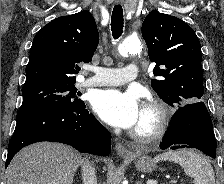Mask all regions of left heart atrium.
Here are the masks:
<instances>
[{
    "mask_svg": "<svg viewBox=\"0 0 224 184\" xmlns=\"http://www.w3.org/2000/svg\"><path fill=\"white\" fill-rule=\"evenodd\" d=\"M93 109L111 126L123 129L134 128L142 114L139 96L134 92L116 89L102 90L93 98Z\"/></svg>",
    "mask_w": 224,
    "mask_h": 184,
    "instance_id": "39dd6f15",
    "label": "left heart atrium"
}]
</instances>
